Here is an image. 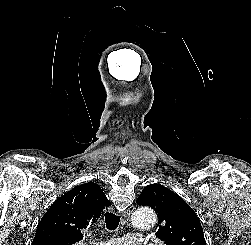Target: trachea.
Returning a JSON list of instances; mask_svg holds the SVG:
<instances>
[{
  "mask_svg": "<svg viewBox=\"0 0 251 245\" xmlns=\"http://www.w3.org/2000/svg\"><path fill=\"white\" fill-rule=\"evenodd\" d=\"M105 222L106 227L108 230L114 231L117 229L119 222H120V216L116 215L112 212H106L105 213Z\"/></svg>",
  "mask_w": 251,
  "mask_h": 245,
  "instance_id": "trachea-1",
  "label": "trachea"
}]
</instances>
